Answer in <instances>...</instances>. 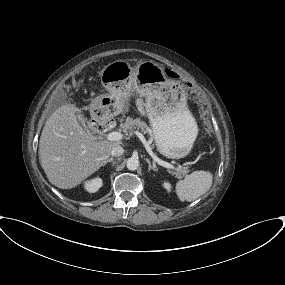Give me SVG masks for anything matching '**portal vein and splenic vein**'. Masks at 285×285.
<instances>
[{
	"instance_id": "portal-vein-and-splenic-vein-1",
	"label": "portal vein and splenic vein",
	"mask_w": 285,
	"mask_h": 285,
	"mask_svg": "<svg viewBox=\"0 0 285 285\" xmlns=\"http://www.w3.org/2000/svg\"><path fill=\"white\" fill-rule=\"evenodd\" d=\"M138 137L139 139L142 141V143L144 144L147 152L149 153V155L161 166L165 167V168H169V169H174V166L168 162H165L161 159H159L157 156H155V154L152 152L150 146L146 143V140L144 138V136L138 132V131H135L134 132ZM107 139L110 140V141H120L123 139V134L120 133V132H110L106 135Z\"/></svg>"
}]
</instances>
